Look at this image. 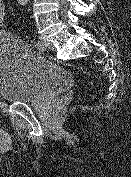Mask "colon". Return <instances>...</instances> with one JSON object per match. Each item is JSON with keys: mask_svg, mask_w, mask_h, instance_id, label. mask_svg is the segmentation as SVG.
I'll list each match as a JSON object with an SVG mask.
<instances>
[{"mask_svg": "<svg viewBox=\"0 0 131 177\" xmlns=\"http://www.w3.org/2000/svg\"><path fill=\"white\" fill-rule=\"evenodd\" d=\"M5 3L4 0H0V24L3 22L5 18Z\"/></svg>", "mask_w": 131, "mask_h": 177, "instance_id": "obj_1", "label": "colon"}]
</instances>
